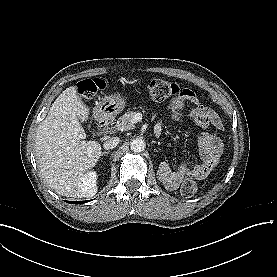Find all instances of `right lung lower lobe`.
Returning <instances> with one entry per match:
<instances>
[{"label":"right lung lower lobe","mask_w":277,"mask_h":277,"mask_svg":"<svg viewBox=\"0 0 277 277\" xmlns=\"http://www.w3.org/2000/svg\"><path fill=\"white\" fill-rule=\"evenodd\" d=\"M88 201H67V202L70 203V204H82V203H86Z\"/></svg>","instance_id":"1"}]
</instances>
